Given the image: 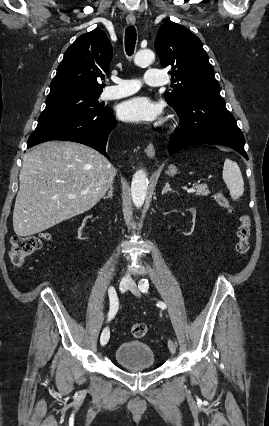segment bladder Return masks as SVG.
Instances as JSON below:
<instances>
[{
	"instance_id": "1",
	"label": "bladder",
	"mask_w": 269,
	"mask_h": 426,
	"mask_svg": "<svg viewBox=\"0 0 269 426\" xmlns=\"http://www.w3.org/2000/svg\"><path fill=\"white\" fill-rule=\"evenodd\" d=\"M115 362L128 371L148 370L155 365V353L144 342L138 340L120 343L113 354Z\"/></svg>"
}]
</instances>
